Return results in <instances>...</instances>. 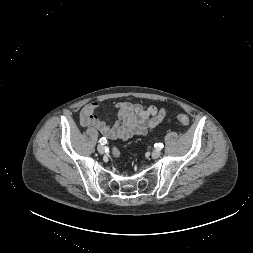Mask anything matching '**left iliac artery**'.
Returning <instances> with one entry per match:
<instances>
[{"label":"left iliac artery","instance_id":"left-iliac-artery-1","mask_svg":"<svg viewBox=\"0 0 253 253\" xmlns=\"http://www.w3.org/2000/svg\"><path fill=\"white\" fill-rule=\"evenodd\" d=\"M163 146H164L163 143H158L157 144V148H159V149L163 148Z\"/></svg>","mask_w":253,"mask_h":253}]
</instances>
